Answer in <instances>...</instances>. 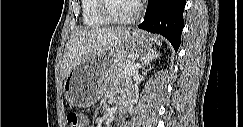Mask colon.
Returning <instances> with one entry per match:
<instances>
[{"mask_svg": "<svg viewBox=\"0 0 243 127\" xmlns=\"http://www.w3.org/2000/svg\"><path fill=\"white\" fill-rule=\"evenodd\" d=\"M66 118L70 127H84V119L77 111H69Z\"/></svg>", "mask_w": 243, "mask_h": 127, "instance_id": "1", "label": "colon"}]
</instances>
